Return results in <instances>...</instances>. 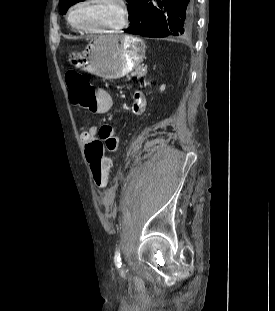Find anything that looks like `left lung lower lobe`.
<instances>
[{
	"label": "left lung lower lobe",
	"instance_id": "0a47b994",
	"mask_svg": "<svg viewBox=\"0 0 275 311\" xmlns=\"http://www.w3.org/2000/svg\"><path fill=\"white\" fill-rule=\"evenodd\" d=\"M194 28V0H145L127 33L146 37L187 36Z\"/></svg>",
	"mask_w": 275,
	"mask_h": 311
}]
</instances>
